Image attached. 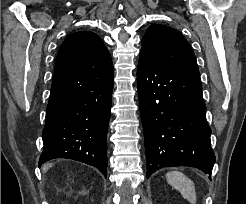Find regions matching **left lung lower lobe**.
Returning a JSON list of instances; mask_svg holds the SVG:
<instances>
[{
	"instance_id": "obj_1",
	"label": "left lung lower lobe",
	"mask_w": 246,
	"mask_h": 204,
	"mask_svg": "<svg viewBox=\"0 0 246 204\" xmlns=\"http://www.w3.org/2000/svg\"><path fill=\"white\" fill-rule=\"evenodd\" d=\"M147 178L163 167H196L211 179L215 155L199 73L140 55L137 70Z\"/></svg>"
}]
</instances>
